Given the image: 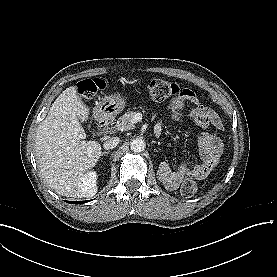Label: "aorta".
Returning <instances> with one entry per match:
<instances>
[{
	"label": "aorta",
	"mask_w": 277,
	"mask_h": 277,
	"mask_svg": "<svg viewBox=\"0 0 277 277\" xmlns=\"http://www.w3.org/2000/svg\"><path fill=\"white\" fill-rule=\"evenodd\" d=\"M146 148V143L141 138H136L130 142V149L135 153H140Z\"/></svg>",
	"instance_id": "762f6f07"
}]
</instances>
